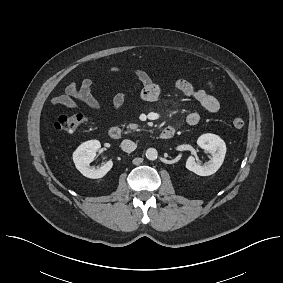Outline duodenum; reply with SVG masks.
Masks as SVG:
<instances>
[{"label":"duodenum","instance_id":"obj_1","mask_svg":"<svg viewBox=\"0 0 283 283\" xmlns=\"http://www.w3.org/2000/svg\"><path fill=\"white\" fill-rule=\"evenodd\" d=\"M121 129L117 126H113L109 129V136L112 139L118 140L121 138ZM175 134V129L171 126L166 127L165 129H163L160 134H159V138L162 140H168L170 138H172Z\"/></svg>","mask_w":283,"mask_h":283}]
</instances>
